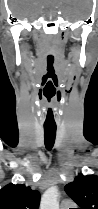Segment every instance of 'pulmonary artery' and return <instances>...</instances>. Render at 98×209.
I'll return each instance as SVG.
<instances>
[{
	"label": "pulmonary artery",
	"mask_w": 98,
	"mask_h": 209,
	"mask_svg": "<svg viewBox=\"0 0 98 209\" xmlns=\"http://www.w3.org/2000/svg\"><path fill=\"white\" fill-rule=\"evenodd\" d=\"M73 203L70 200H63L60 205V209H70Z\"/></svg>",
	"instance_id": "1"
}]
</instances>
